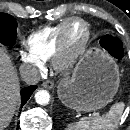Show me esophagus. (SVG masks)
I'll use <instances>...</instances> for the list:
<instances>
[{
    "label": "esophagus",
    "instance_id": "34e87169",
    "mask_svg": "<svg viewBox=\"0 0 130 130\" xmlns=\"http://www.w3.org/2000/svg\"><path fill=\"white\" fill-rule=\"evenodd\" d=\"M42 86L46 89H53L54 88V82L51 80H46L43 82Z\"/></svg>",
    "mask_w": 130,
    "mask_h": 130
}]
</instances>
